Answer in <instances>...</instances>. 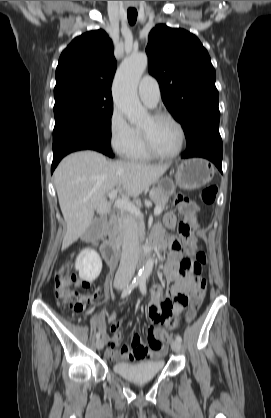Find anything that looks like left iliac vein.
<instances>
[{"mask_svg":"<svg viewBox=\"0 0 271 418\" xmlns=\"http://www.w3.org/2000/svg\"><path fill=\"white\" fill-rule=\"evenodd\" d=\"M171 348H172L173 351L178 353L181 350V343L178 342L177 340H173L171 342Z\"/></svg>","mask_w":271,"mask_h":418,"instance_id":"left-iliac-vein-1","label":"left iliac vein"}]
</instances>
